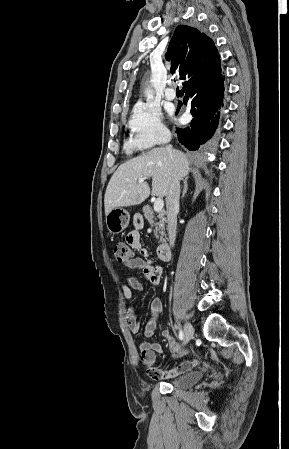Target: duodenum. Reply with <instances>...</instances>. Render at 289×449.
Masks as SVG:
<instances>
[{
	"instance_id": "obj_1",
	"label": "duodenum",
	"mask_w": 289,
	"mask_h": 449,
	"mask_svg": "<svg viewBox=\"0 0 289 449\" xmlns=\"http://www.w3.org/2000/svg\"><path fill=\"white\" fill-rule=\"evenodd\" d=\"M157 255L160 260L168 261L171 256L170 247L168 244H161L157 249Z\"/></svg>"
}]
</instances>
